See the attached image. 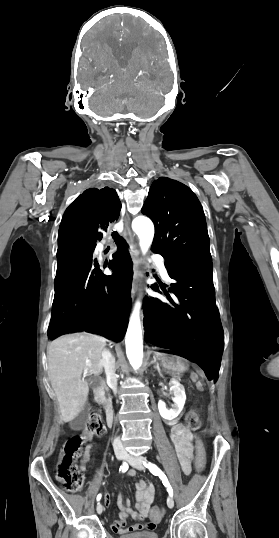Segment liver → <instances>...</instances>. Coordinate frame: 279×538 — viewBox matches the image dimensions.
<instances>
[{
	"label": "liver",
	"mask_w": 279,
	"mask_h": 538,
	"mask_svg": "<svg viewBox=\"0 0 279 538\" xmlns=\"http://www.w3.org/2000/svg\"><path fill=\"white\" fill-rule=\"evenodd\" d=\"M106 342L105 338L82 332L61 336L48 346V376L63 422H72L82 412L89 394V386L82 374H101L102 350Z\"/></svg>",
	"instance_id": "1"
}]
</instances>
